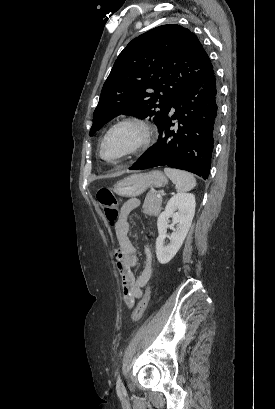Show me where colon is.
Wrapping results in <instances>:
<instances>
[{
  "instance_id": "1",
  "label": "colon",
  "mask_w": 275,
  "mask_h": 409,
  "mask_svg": "<svg viewBox=\"0 0 275 409\" xmlns=\"http://www.w3.org/2000/svg\"><path fill=\"white\" fill-rule=\"evenodd\" d=\"M96 199L100 204L103 213L107 220L114 224V222L118 219L119 216V203L117 198L113 195V193L108 189H102L97 192ZM150 300L149 293H147L138 303V305L134 308L131 314L132 322H138L144 315V312L148 306Z\"/></svg>"
}]
</instances>
